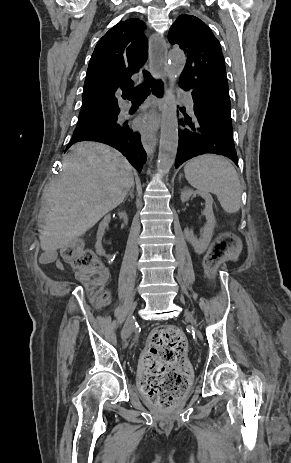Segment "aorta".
<instances>
[{"mask_svg": "<svg viewBox=\"0 0 291 463\" xmlns=\"http://www.w3.org/2000/svg\"><path fill=\"white\" fill-rule=\"evenodd\" d=\"M186 63L184 53L173 51L168 56L167 73L169 88L166 91L160 133V145L157 161L158 171L166 174L171 169L178 149V119L174 85L181 75Z\"/></svg>", "mask_w": 291, "mask_h": 463, "instance_id": "obj_1", "label": "aorta"}]
</instances>
